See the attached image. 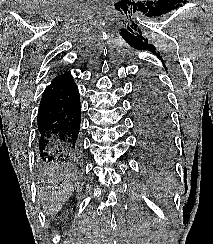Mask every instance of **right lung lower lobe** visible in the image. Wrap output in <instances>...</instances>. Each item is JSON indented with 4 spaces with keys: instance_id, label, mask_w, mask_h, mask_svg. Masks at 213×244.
Listing matches in <instances>:
<instances>
[{
    "instance_id": "obj_1",
    "label": "right lung lower lobe",
    "mask_w": 213,
    "mask_h": 244,
    "mask_svg": "<svg viewBox=\"0 0 213 244\" xmlns=\"http://www.w3.org/2000/svg\"><path fill=\"white\" fill-rule=\"evenodd\" d=\"M81 106L70 72L56 76L44 90L38 116L39 153L44 161L70 162L81 153Z\"/></svg>"
}]
</instances>
